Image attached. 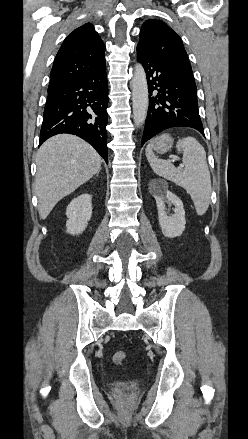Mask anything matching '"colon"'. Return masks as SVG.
I'll use <instances>...</instances> for the list:
<instances>
[{
    "label": "colon",
    "instance_id": "colon-1",
    "mask_svg": "<svg viewBox=\"0 0 248 439\" xmlns=\"http://www.w3.org/2000/svg\"><path fill=\"white\" fill-rule=\"evenodd\" d=\"M126 357H127L126 352L119 350L113 354L112 359L116 365H120L126 360Z\"/></svg>",
    "mask_w": 248,
    "mask_h": 439
}]
</instances>
